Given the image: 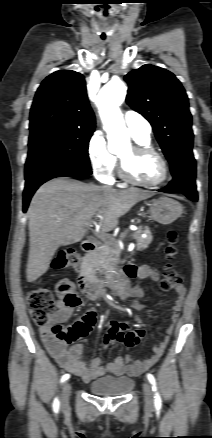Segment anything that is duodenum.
Instances as JSON below:
<instances>
[{"instance_id":"1","label":"duodenum","mask_w":212,"mask_h":438,"mask_svg":"<svg viewBox=\"0 0 212 438\" xmlns=\"http://www.w3.org/2000/svg\"><path fill=\"white\" fill-rule=\"evenodd\" d=\"M82 250L91 254L95 250V244L92 240H84L81 245ZM79 290L89 299L99 301L104 299L108 294L118 293L121 288V279L115 281L109 288L99 286L91 280L89 270L84 267L80 271V275L77 281Z\"/></svg>"}]
</instances>
